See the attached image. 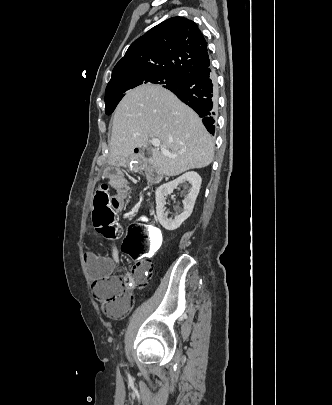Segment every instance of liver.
I'll return each instance as SVG.
<instances>
[{
    "mask_svg": "<svg viewBox=\"0 0 332 405\" xmlns=\"http://www.w3.org/2000/svg\"><path fill=\"white\" fill-rule=\"evenodd\" d=\"M151 138L173 156L152 150L149 164L166 176H177L213 161L214 143L201 118L173 93L158 85L132 89L113 117L110 163L124 166L135 148H147Z\"/></svg>",
    "mask_w": 332,
    "mask_h": 405,
    "instance_id": "6515ba94",
    "label": "liver"
}]
</instances>
